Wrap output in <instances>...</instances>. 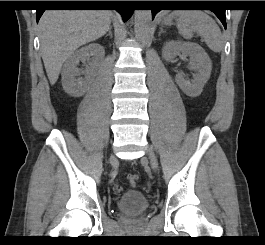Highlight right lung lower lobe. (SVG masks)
<instances>
[{"label":"right lung lower lobe","instance_id":"98d812e1","mask_svg":"<svg viewBox=\"0 0 265 245\" xmlns=\"http://www.w3.org/2000/svg\"><path fill=\"white\" fill-rule=\"evenodd\" d=\"M54 6H69L67 3H56ZM80 7H94V6H101V7H114L115 10L119 11L124 21L128 20L132 14V9L127 1H84L80 3ZM44 9L37 10V22L39 21L40 17L42 16Z\"/></svg>","mask_w":265,"mask_h":245}]
</instances>
